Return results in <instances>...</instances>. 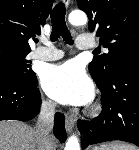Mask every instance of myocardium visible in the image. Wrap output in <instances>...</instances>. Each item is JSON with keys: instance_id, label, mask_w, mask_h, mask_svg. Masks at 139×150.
<instances>
[{"instance_id": "1", "label": "myocardium", "mask_w": 139, "mask_h": 150, "mask_svg": "<svg viewBox=\"0 0 139 150\" xmlns=\"http://www.w3.org/2000/svg\"><path fill=\"white\" fill-rule=\"evenodd\" d=\"M99 110H100V106H95V107L92 109V113H97Z\"/></svg>"}]
</instances>
